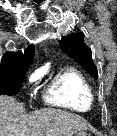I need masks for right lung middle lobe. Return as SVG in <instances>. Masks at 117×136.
<instances>
[{"instance_id": "1", "label": "right lung middle lobe", "mask_w": 117, "mask_h": 136, "mask_svg": "<svg viewBox=\"0 0 117 136\" xmlns=\"http://www.w3.org/2000/svg\"><path fill=\"white\" fill-rule=\"evenodd\" d=\"M29 67L1 68L0 69V95H15L19 92L25 72Z\"/></svg>"}]
</instances>
